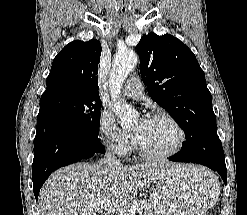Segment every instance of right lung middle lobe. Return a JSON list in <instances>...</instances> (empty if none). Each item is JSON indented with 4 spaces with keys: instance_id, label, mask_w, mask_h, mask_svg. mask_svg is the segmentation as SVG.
<instances>
[{
    "instance_id": "1",
    "label": "right lung middle lobe",
    "mask_w": 247,
    "mask_h": 215,
    "mask_svg": "<svg viewBox=\"0 0 247 215\" xmlns=\"http://www.w3.org/2000/svg\"><path fill=\"white\" fill-rule=\"evenodd\" d=\"M101 100L71 89L45 91L40 100L37 121L55 119L68 122L98 134Z\"/></svg>"
}]
</instances>
